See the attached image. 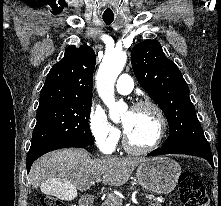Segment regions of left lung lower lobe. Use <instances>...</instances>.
<instances>
[{
    "label": "left lung lower lobe",
    "mask_w": 221,
    "mask_h": 206,
    "mask_svg": "<svg viewBox=\"0 0 221 206\" xmlns=\"http://www.w3.org/2000/svg\"><path fill=\"white\" fill-rule=\"evenodd\" d=\"M164 154H187L202 157L206 159L212 167H214L210 147H161L148 153L147 156H157Z\"/></svg>",
    "instance_id": "1"
}]
</instances>
